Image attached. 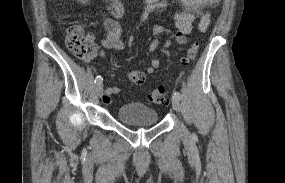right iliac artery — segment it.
<instances>
[{"mask_svg":"<svg viewBox=\"0 0 285 183\" xmlns=\"http://www.w3.org/2000/svg\"><path fill=\"white\" fill-rule=\"evenodd\" d=\"M102 80H103V78L99 75V76L96 77L95 83H96V84H97V83H101Z\"/></svg>","mask_w":285,"mask_h":183,"instance_id":"82829eb1","label":"right iliac artery"}]
</instances>
